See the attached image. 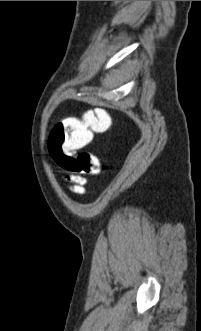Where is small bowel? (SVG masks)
I'll list each match as a JSON object with an SVG mask.
<instances>
[{
    "instance_id": "c3829d8e",
    "label": "small bowel",
    "mask_w": 201,
    "mask_h": 331,
    "mask_svg": "<svg viewBox=\"0 0 201 331\" xmlns=\"http://www.w3.org/2000/svg\"><path fill=\"white\" fill-rule=\"evenodd\" d=\"M67 179L69 182L73 183V185L70 188L72 192L76 194L85 193V188H84L85 180L83 178L71 175L68 176Z\"/></svg>"
}]
</instances>
